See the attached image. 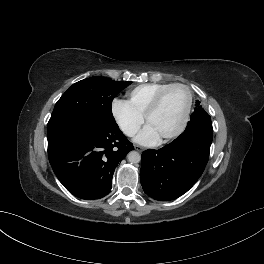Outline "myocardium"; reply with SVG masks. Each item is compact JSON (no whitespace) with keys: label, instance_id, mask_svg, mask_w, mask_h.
Segmentation results:
<instances>
[{"label":"myocardium","instance_id":"1","mask_svg":"<svg viewBox=\"0 0 264 264\" xmlns=\"http://www.w3.org/2000/svg\"><path fill=\"white\" fill-rule=\"evenodd\" d=\"M177 87L182 88L186 91V94H187L186 105H185L184 112H183L182 118H181L178 126L173 131H171L170 133L163 135L161 137L162 140H169V139L175 138L184 130V128H185V126L189 120V115H190L191 106H192V94H191L189 87L186 86L185 84H182V83L169 84L168 86H166L165 88H163L162 90H160L156 94V96L151 101V103L149 104L148 108L146 109V111L144 113L145 122L148 123L150 116L159 108V106H160L164 96L166 95V93L169 90H171L173 88H177Z\"/></svg>","mask_w":264,"mask_h":264}]
</instances>
